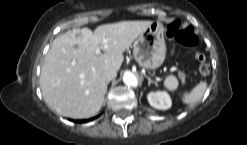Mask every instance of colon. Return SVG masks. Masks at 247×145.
Returning <instances> with one entry per match:
<instances>
[{"instance_id": "colon-1", "label": "colon", "mask_w": 247, "mask_h": 145, "mask_svg": "<svg viewBox=\"0 0 247 145\" xmlns=\"http://www.w3.org/2000/svg\"><path fill=\"white\" fill-rule=\"evenodd\" d=\"M165 35L168 39L174 40L177 43L187 46L195 47L198 43V38L191 27H182L179 20H175L170 23L165 30ZM197 61L200 63L199 72L203 76H207L210 73V66L206 62V56L197 51L195 53Z\"/></svg>"}]
</instances>
